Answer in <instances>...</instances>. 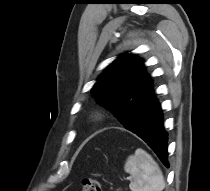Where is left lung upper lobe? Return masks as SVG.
I'll return each mask as SVG.
<instances>
[{
    "label": "left lung upper lobe",
    "instance_id": "5c2ea615",
    "mask_svg": "<svg viewBox=\"0 0 210 191\" xmlns=\"http://www.w3.org/2000/svg\"><path fill=\"white\" fill-rule=\"evenodd\" d=\"M153 90L151 76L144 61L135 54H126L110 64L91 89L96 100L110 109L128 130L135 126L127 118L129 111Z\"/></svg>",
    "mask_w": 210,
    "mask_h": 191
}]
</instances>
